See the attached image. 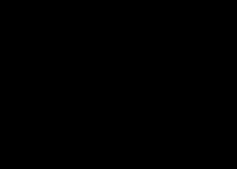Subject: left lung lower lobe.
<instances>
[{
  "mask_svg": "<svg viewBox=\"0 0 237 169\" xmlns=\"http://www.w3.org/2000/svg\"><path fill=\"white\" fill-rule=\"evenodd\" d=\"M131 126L143 143L162 145L175 139L188 117L165 110L152 102L137 99L133 103Z\"/></svg>",
  "mask_w": 237,
  "mask_h": 169,
  "instance_id": "obj_1",
  "label": "left lung lower lobe"
}]
</instances>
